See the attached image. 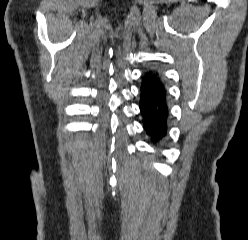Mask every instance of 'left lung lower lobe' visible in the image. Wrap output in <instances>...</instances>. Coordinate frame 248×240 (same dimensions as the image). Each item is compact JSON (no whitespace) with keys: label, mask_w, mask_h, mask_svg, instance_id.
Instances as JSON below:
<instances>
[{"label":"left lung lower lobe","mask_w":248,"mask_h":240,"mask_svg":"<svg viewBox=\"0 0 248 240\" xmlns=\"http://www.w3.org/2000/svg\"><path fill=\"white\" fill-rule=\"evenodd\" d=\"M139 107L144 130L158 144L167 135L170 119L167 90L158 72L151 70L142 76Z\"/></svg>","instance_id":"0a47b994"}]
</instances>
